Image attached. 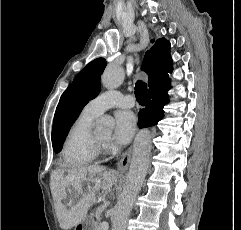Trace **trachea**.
I'll return each mask as SVG.
<instances>
[{"mask_svg":"<svg viewBox=\"0 0 241 230\" xmlns=\"http://www.w3.org/2000/svg\"><path fill=\"white\" fill-rule=\"evenodd\" d=\"M147 95V84L142 81H137L135 85V96L138 103H144Z\"/></svg>","mask_w":241,"mask_h":230,"instance_id":"obj_1","label":"trachea"}]
</instances>
